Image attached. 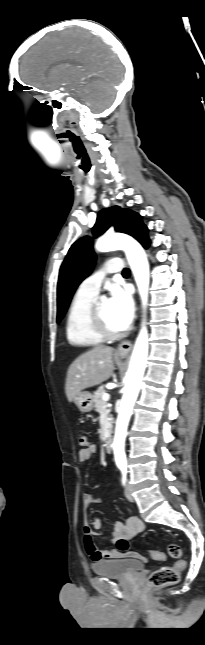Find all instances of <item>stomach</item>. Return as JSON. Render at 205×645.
Listing matches in <instances>:
<instances>
[{
  "label": "stomach",
  "instance_id": "0dacf381",
  "mask_svg": "<svg viewBox=\"0 0 205 645\" xmlns=\"http://www.w3.org/2000/svg\"><path fill=\"white\" fill-rule=\"evenodd\" d=\"M125 356H121L124 358ZM78 409L83 412H90L94 407V397L90 392L84 391L76 394L73 399Z\"/></svg>",
  "mask_w": 205,
  "mask_h": 645
}]
</instances>
